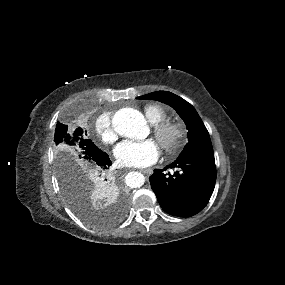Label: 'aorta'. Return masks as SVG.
<instances>
[{"label": "aorta", "instance_id": "aorta-1", "mask_svg": "<svg viewBox=\"0 0 285 285\" xmlns=\"http://www.w3.org/2000/svg\"><path fill=\"white\" fill-rule=\"evenodd\" d=\"M114 130L121 136L142 139L147 136L148 127L143 114L134 108H123L117 111L112 119ZM145 177L139 172H130L126 176L129 187H141Z\"/></svg>", "mask_w": 285, "mask_h": 285}]
</instances>
